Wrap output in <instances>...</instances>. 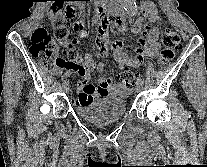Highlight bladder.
Segmentation results:
<instances>
[{
  "instance_id": "obj_1",
  "label": "bladder",
  "mask_w": 207,
  "mask_h": 167,
  "mask_svg": "<svg viewBox=\"0 0 207 167\" xmlns=\"http://www.w3.org/2000/svg\"><path fill=\"white\" fill-rule=\"evenodd\" d=\"M126 101L121 96H105L76 105L77 115L94 124H108L120 120L126 113Z\"/></svg>"
}]
</instances>
